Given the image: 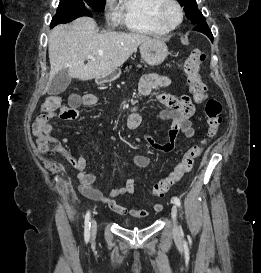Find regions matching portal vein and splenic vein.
Here are the masks:
<instances>
[{
  "instance_id": "portal-vein-and-splenic-vein-1",
  "label": "portal vein and splenic vein",
  "mask_w": 261,
  "mask_h": 273,
  "mask_svg": "<svg viewBox=\"0 0 261 273\" xmlns=\"http://www.w3.org/2000/svg\"><path fill=\"white\" fill-rule=\"evenodd\" d=\"M93 57L91 55L88 56V59H92Z\"/></svg>"
}]
</instances>
